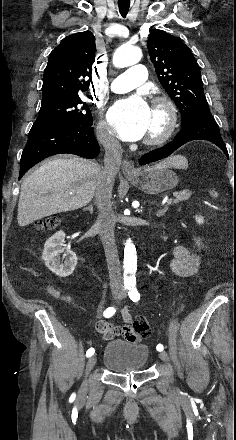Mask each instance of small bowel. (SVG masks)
Listing matches in <instances>:
<instances>
[{
  "instance_id": "small-bowel-1",
  "label": "small bowel",
  "mask_w": 236,
  "mask_h": 440,
  "mask_svg": "<svg viewBox=\"0 0 236 440\" xmlns=\"http://www.w3.org/2000/svg\"><path fill=\"white\" fill-rule=\"evenodd\" d=\"M173 259L171 262V269L179 277L188 278L198 273L201 267V258L199 255L191 252L183 245H175L173 247ZM48 293L56 298L66 302H71L73 299L70 296L63 295L53 284H48ZM122 317L125 322L119 324H112L104 320L96 323V329L101 333L104 339L113 338L119 335L123 342H130L131 339L138 337V332L134 330L132 322V315L128 308L122 310ZM127 323V324H126Z\"/></svg>"
}]
</instances>
